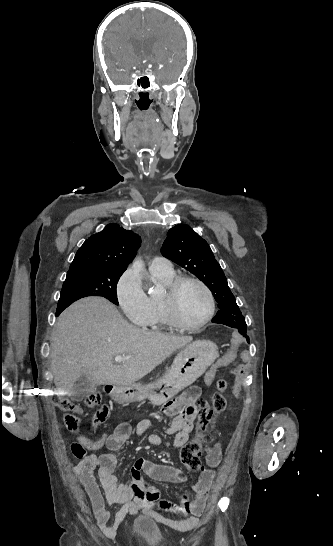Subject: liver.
I'll return each instance as SVG.
<instances>
[{
  "mask_svg": "<svg viewBox=\"0 0 333 546\" xmlns=\"http://www.w3.org/2000/svg\"><path fill=\"white\" fill-rule=\"evenodd\" d=\"M51 339V368L58 390L70 392L81 375L93 386L132 385L191 336L148 332L128 323L104 298L88 297L61 313ZM116 355L130 359L115 364Z\"/></svg>",
  "mask_w": 333,
  "mask_h": 546,
  "instance_id": "liver-1",
  "label": "liver"
}]
</instances>
